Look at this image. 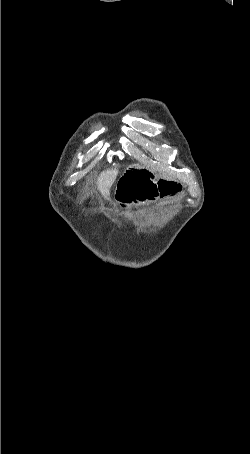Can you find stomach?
I'll return each mask as SVG.
<instances>
[{
	"mask_svg": "<svg viewBox=\"0 0 250 454\" xmlns=\"http://www.w3.org/2000/svg\"><path fill=\"white\" fill-rule=\"evenodd\" d=\"M122 176H155V175L153 172L146 170L140 167L139 165H131L127 167Z\"/></svg>",
	"mask_w": 250,
	"mask_h": 454,
	"instance_id": "1",
	"label": "stomach"
}]
</instances>
